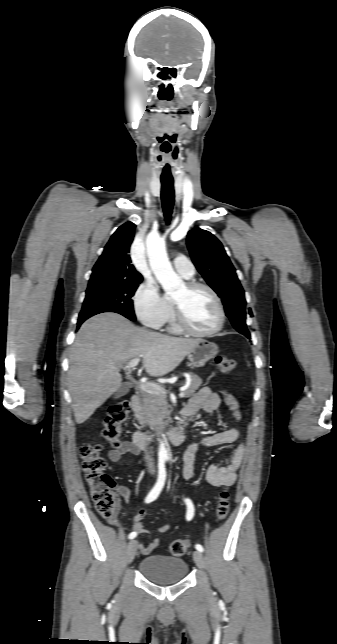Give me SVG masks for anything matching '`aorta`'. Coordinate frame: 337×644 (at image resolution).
<instances>
[{"mask_svg": "<svg viewBox=\"0 0 337 644\" xmlns=\"http://www.w3.org/2000/svg\"><path fill=\"white\" fill-rule=\"evenodd\" d=\"M147 256L151 270L168 295L174 294L183 287V280L174 272L169 261L164 241L158 234L151 233L146 240ZM158 455L168 458V451L164 441H160Z\"/></svg>", "mask_w": 337, "mask_h": 644, "instance_id": "1", "label": "aorta"}]
</instances>
